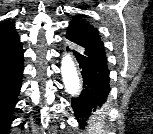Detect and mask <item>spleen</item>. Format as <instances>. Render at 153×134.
I'll use <instances>...</instances> for the list:
<instances>
[{
  "instance_id": "spleen-1",
  "label": "spleen",
  "mask_w": 153,
  "mask_h": 134,
  "mask_svg": "<svg viewBox=\"0 0 153 134\" xmlns=\"http://www.w3.org/2000/svg\"><path fill=\"white\" fill-rule=\"evenodd\" d=\"M105 118V114L102 110H98L96 114L93 116L92 121L89 124L88 133L89 134H102L104 131V123L103 120Z\"/></svg>"
}]
</instances>
